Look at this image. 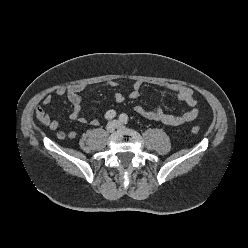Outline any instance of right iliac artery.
<instances>
[{"label": "right iliac artery", "instance_id": "82829eb1", "mask_svg": "<svg viewBox=\"0 0 248 248\" xmlns=\"http://www.w3.org/2000/svg\"><path fill=\"white\" fill-rule=\"evenodd\" d=\"M115 116H116V112H115L114 110H109V111H107L106 114H105V118H106L107 120H111V119H113Z\"/></svg>", "mask_w": 248, "mask_h": 248}]
</instances>
